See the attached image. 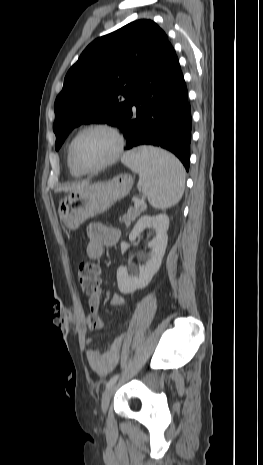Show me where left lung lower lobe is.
I'll return each mask as SVG.
<instances>
[{
	"label": "left lung lower lobe",
	"instance_id": "obj_1",
	"mask_svg": "<svg viewBox=\"0 0 263 465\" xmlns=\"http://www.w3.org/2000/svg\"><path fill=\"white\" fill-rule=\"evenodd\" d=\"M190 110L178 58L172 45L167 43L132 89L130 107L120 126L127 139L126 149L142 144L165 148L188 171Z\"/></svg>",
	"mask_w": 263,
	"mask_h": 465
}]
</instances>
